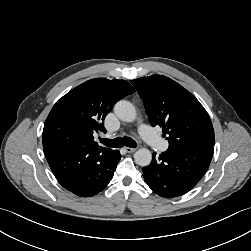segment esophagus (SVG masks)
I'll return each mask as SVG.
<instances>
[{
	"label": "esophagus",
	"instance_id": "1",
	"mask_svg": "<svg viewBox=\"0 0 251 251\" xmlns=\"http://www.w3.org/2000/svg\"><path fill=\"white\" fill-rule=\"evenodd\" d=\"M125 151H126L127 153H133V152L136 151V148L125 147Z\"/></svg>",
	"mask_w": 251,
	"mask_h": 251
}]
</instances>
